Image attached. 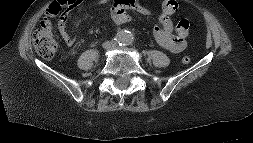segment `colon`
Here are the masks:
<instances>
[{
  "label": "colon",
  "mask_w": 253,
  "mask_h": 143,
  "mask_svg": "<svg viewBox=\"0 0 253 143\" xmlns=\"http://www.w3.org/2000/svg\"><path fill=\"white\" fill-rule=\"evenodd\" d=\"M83 0H55L48 8L50 16L60 13V11L67 7L69 9L81 5ZM177 6L174 5V8ZM189 22L186 19L180 20L176 27V32L179 36L187 37L189 33ZM33 45L37 53L43 58H52L58 49L57 41L53 35L52 25L48 19L41 22V28L36 30L33 34ZM191 57L185 55L182 57L183 64H189Z\"/></svg>",
  "instance_id": "5ec220e1"
}]
</instances>
